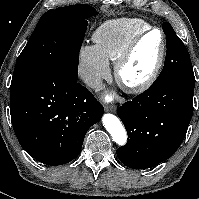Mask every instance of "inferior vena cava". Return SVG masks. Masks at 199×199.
Wrapping results in <instances>:
<instances>
[{"label": "inferior vena cava", "mask_w": 199, "mask_h": 199, "mask_svg": "<svg viewBox=\"0 0 199 199\" xmlns=\"http://www.w3.org/2000/svg\"><path fill=\"white\" fill-rule=\"evenodd\" d=\"M81 77L85 84L90 88L99 89L103 85L101 77L90 73L88 70H82Z\"/></svg>", "instance_id": "inferior-vena-cava-1"}]
</instances>
